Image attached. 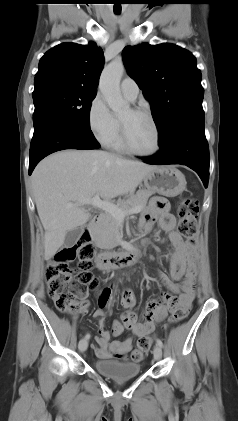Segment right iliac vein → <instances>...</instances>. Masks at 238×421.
<instances>
[{"label": "right iliac vein", "mask_w": 238, "mask_h": 421, "mask_svg": "<svg viewBox=\"0 0 238 421\" xmlns=\"http://www.w3.org/2000/svg\"><path fill=\"white\" fill-rule=\"evenodd\" d=\"M87 347H88V340H87V339H81V340L79 341V344H78V348H79V350H80L81 352H84V351H86V350H87Z\"/></svg>", "instance_id": "right-iliac-vein-1"}]
</instances>
